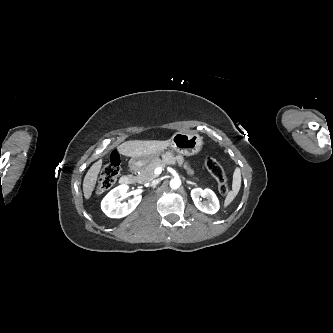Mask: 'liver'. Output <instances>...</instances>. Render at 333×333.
<instances>
[{"mask_svg":"<svg viewBox=\"0 0 333 333\" xmlns=\"http://www.w3.org/2000/svg\"><path fill=\"white\" fill-rule=\"evenodd\" d=\"M170 146V140H133L122 143L117 147L120 154L127 157H146L161 152ZM102 166V160L95 162L87 171L83 181V193L89 199L95 188L98 174Z\"/></svg>","mask_w":333,"mask_h":333,"instance_id":"liver-1","label":"liver"}]
</instances>
